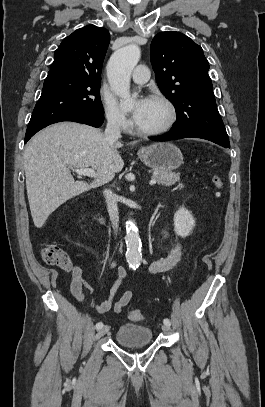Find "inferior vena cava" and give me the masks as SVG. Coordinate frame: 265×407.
I'll return each mask as SVG.
<instances>
[{
  "label": "inferior vena cava",
  "mask_w": 265,
  "mask_h": 407,
  "mask_svg": "<svg viewBox=\"0 0 265 407\" xmlns=\"http://www.w3.org/2000/svg\"><path fill=\"white\" fill-rule=\"evenodd\" d=\"M121 118L117 115H109L107 117V126L104 132L108 142H115L121 136ZM107 204V210L113 226L117 229L119 222V211L117 205V196L109 189L103 192Z\"/></svg>",
  "instance_id": "602c4592"
}]
</instances>
